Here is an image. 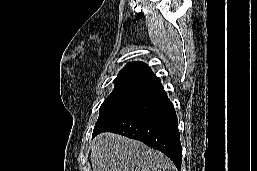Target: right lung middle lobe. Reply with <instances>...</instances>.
<instances>
[{"instance_id":"right-lung-middle-lobe-1","label":"right lung middle lobe","mask_w":257,"mask_h":171,"mask_svg":"<svg viewBox=\"0 0 257 171\" xmlns=\"http://www.w3.org/2000/svg\"><path fill=\"white\" fill-rule=\"evenodd\" d=\"M147 90V86L134 89L114 88L112 93L105 99L100 107L99 117L94 130L106 122L118 110Z\"/></svg>"}]
</instances>
